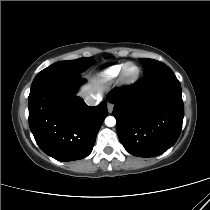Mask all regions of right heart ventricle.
<instances>
[{
	"mask_svg": "<svg viewBox=\"0 0 210 210\" xmlns=\"http://www.w3.org/2000/svg\"><path fill=\"white\" fill-rule=\"evenodd\" d=\"M125 64H116L113 65L109 68H107L106 70H104L101 74L102 78L105 81H113L115 79H117L119 77V75L121 74L122 68Z\"/></svg>",
	"mask_w": 210,
	"mask_h": 210,
	"instance_id": "e07e8e85",
	"label": "right heart ventricle"
}]
</instances>
